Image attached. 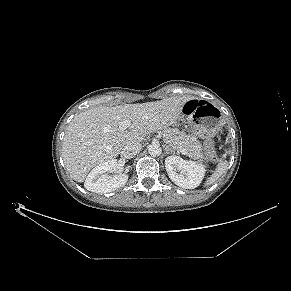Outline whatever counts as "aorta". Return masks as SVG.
<instances>
[{
    "instance_id": "762f6f07",
    "label": "aorta",
    "mask_w": 291,
    "mask_h": 291,
    "mask_svg": "<svg viewBox=\"0 0 291 291\" xmlns=\"http://www.w3.org/2000/svg\"><path fill=\"white\" fill-rule=\"evenodd\" d=\"M161 152H162V149L159 144H150L148 146V153L153 157L160 156Z\"/></svg>"
}]
</instances>
